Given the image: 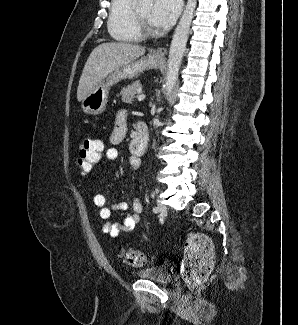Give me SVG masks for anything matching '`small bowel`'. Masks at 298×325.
<instances>
[{
    "mask_svg": "<svg viewBox=\"0 0 298 325\" xmlns=\"http://www.w3.org/2000/svg\"><path fill=\"white\" fill-rule=\"evenodd\" d=\"M127 132V123L125 115L120 113L115 121L113 131L110 135L109 141L111 146L106 150L105 157L106 162L115 160L118 156L116 146L123 141ZM104 162V164H106ZM129 164L133 170H138L141 165L139 158L131 156ZM93 203L100 209L99 215L102 219L109 220L112 217L113 212H118L123 217V223L119 224L112 221H107L102 228L103 234L116 238L122 231L131 232L135 229L136 225L140 221V215L143 209L142 203L138 198L132 201L130 212L129 206L126 202H120L112 205L111 207L106 206V198L102 194H96L93 197Z\"/></svg>",
    "mask_w": 298,
    "mask_h": 325,
    "instance_id": "small-bowel-1",
    "label": "small bowel"
}]
</instances>
